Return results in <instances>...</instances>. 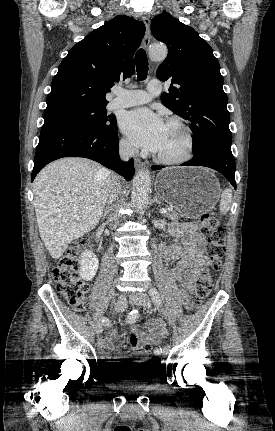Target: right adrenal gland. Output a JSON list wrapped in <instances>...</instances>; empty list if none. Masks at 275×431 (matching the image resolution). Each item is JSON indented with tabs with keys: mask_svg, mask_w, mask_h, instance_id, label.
I'll list each match as a JSON object with an SVG mask.
<instances>
[{
	"mask_svg": "<svg viewBox=\"0 0 275 431\" xmlns=\"http://www.w3.org/2000/svg\"><path fill=\"white\" fill-rule=\"evenodd\" d=\"M108 212H109V209L104 211V213L102 214V218L103 219L106 217V215H107Z\"/></svg>",
	"mask_w": 275,
	"mask_h": 431,
	"instance_id": "obj_1",
	"label": "right adrenal gland"
}]
</instances>
